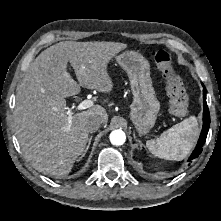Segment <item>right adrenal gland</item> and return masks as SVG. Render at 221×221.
<instances>
[{"label": "right adrenal gland", "mask_w": 221, "mask_h": 221, "mask_svg": "<svg viewBox=\"0 0 221 221\" xmlns=\"http://www.w3.org/2000/svg\"><path fill=\"white\" fill-rule=\"evenodd\" d=\"M91 140H92V136H90L89 141H88V145L86 147L85 153L88 151L90 144H91ZM85 153L78 159V161L81 160V158L85 155Z\"/></svg>", "instance_id": "obj_1"}]
</instances>
